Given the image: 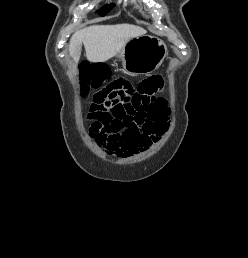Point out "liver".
I'll list each match as a JSON object with an SVG mask.
<instances>
[{"label": "liver", "instance_id": "liver-1", "mask_svg": "<svg viewBox=\"0 0 248 258\" xmlns=\"http://www.w3.org/2000/svg\"><path fill=\"white\" fill-rule=\"evenodd\" d=\"M146 33L142 27L132 24L90 26L72 35L69 53L75 63H78L84 44L88 61L103 63L120 53L130 39Z\"/></svg>", "mask_w": 248, "mask_h": 258}]
</instances>
